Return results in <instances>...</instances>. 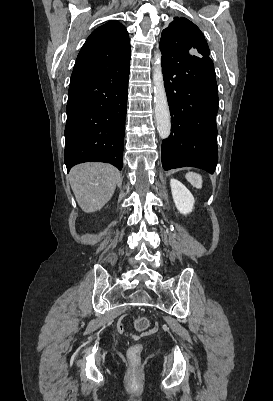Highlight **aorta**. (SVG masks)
<instances>
[{"label":"aorta","instance_id":"aorta-1","mask_svg":"<svg viewBox=\"0 0 273 401\" xmlns=\"http://www.w3.org/2000/svg\"><path fill=\"white\" fill-rule=\"evenodd\" d=\"M155 123L157 131L162 139L169 137L171 133L170 111L164 87L161 67V54L157 53L153 65Z\"/></svg>","mask_w":273,"mask_h":401}]
</instances>
